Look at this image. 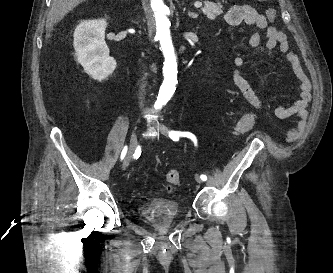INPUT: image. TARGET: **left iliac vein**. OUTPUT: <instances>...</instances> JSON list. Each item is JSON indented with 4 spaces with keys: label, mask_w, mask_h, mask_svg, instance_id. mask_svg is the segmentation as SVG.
Segmentation results:
<instances>
[{
    "label": "left iliac vein",
    "mask_w": 333,
    "mask_h": 273,
    "mask_svg": "<svg viewBox=\"0 0 333 273\" xmlns=\"http://www.w3.org/2000/svg\"><path fill=\"white\" fill-rule=\"evenodd\" d=\"M156 127L162 134H164V135L168 134V128L164 124L157 123ZM195 180L200 184L203 183V180L200 177H198L197 175L195 176Z\"/></svg>",
    "instance_id": "left-iliac-vein-1"
}]
</instances>
